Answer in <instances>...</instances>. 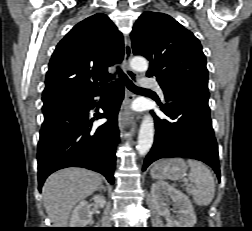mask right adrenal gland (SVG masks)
I'll return each instance as SVG.
<instances>
[{
    "label": "right adrenal gland",
    "mask_w": 252,
    "mask_h": 231,
    "mask_svg": "<svg viewBox=\"0 0 252 231\" xmlns=\"http://www.w3.org/2000/svg\"><path fill=\"white\" fill-rule=\"evenodd\" d=\"M100 189L104 190V192L106 191L103 185L100 186Z\"/></svg>",
    "instance_id": "obj_1"
}]
</instances>
